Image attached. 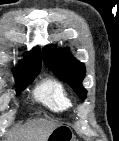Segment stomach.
Listing matches in <instances>:
<instances>
[{
	"label": "stomach",
	"instance_id": "obj_1",
	"mask_svg": "<svg viewBox=\"0 0 119 141\" xmlns=\"http://www.w3.org/2000/svg\"><path fill=\"white\" fill-rule=\"evenodd\" d=\"M47 141H74V134L68 126L59 125L50 133Z\"/></svg>",
	"mask_w": 119,
	"mask_h": 141
}]
</instances>
